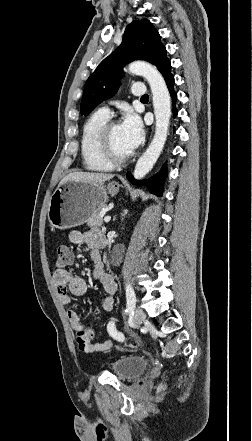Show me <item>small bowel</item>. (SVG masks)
Listing matches in <instances>:
<instances>
[{"label": "small bowel", "mask_w": 252, "mask_h": 441, "mask_svg": "<svg viewBox=\"0 0 252 441\" xmlns=\"http://www.w3.org/2000/svg\"><path fill=\"white\" fill-rule=\"evenodd\" d=\"M69 241L72 244H86L90 249V255L93 261V277L106 293V297L101 303L103 312H109L113 308L114 294L117 290V284L113 276L108 273L100 259L99 249L104 245L105 240L97 229H89L86 231H71L69 233ZM55 287L63 305L69 307L71 298L69 293L75 296L83 295L87 290L85 280L75 275L71 270L66 268H58L53 275ZM67 317L75 331L84 328L83 318L74 308H68ZM111 342L89 343L87 352L106 351L111 348Z\"/></svg>", "instance_id": "obj_1"}]
</instances>
